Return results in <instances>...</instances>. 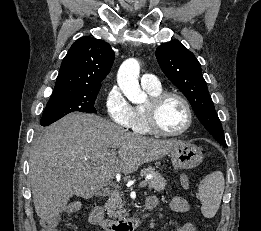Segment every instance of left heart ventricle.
<instances>
[{"mask_svg": "<svg viewBox=\"0 0 261 231\" xmlns=\"http://www.w3.org/2000/svg\"><path fill=\"white\" fill-rule=\"evenodd\" d=\"M186 121V110L180 100L169 98L161 105L158 112V123L163 130L179 131L185 126Z\"/></svg>", "mask_w": 261, "mask_h": 231, "instance_id": "b2bd125f", "label": "left heart ventricle"}]
</instances>
